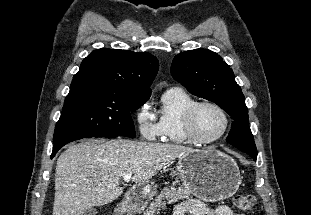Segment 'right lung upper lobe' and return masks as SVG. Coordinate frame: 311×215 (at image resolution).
<instances>
[{"label":"right lung upper lobe","instance_id":"cb5924a9","mask_svg":"<svg viewBox=\"0 0 311 215\" xmlns=\"http://www.w3.org/2000/svg\"><path fill=\"white\" fill-rule=\"evenodd\" d=\"M158 68L157 58L148 52L96 49L82 61L71 88L93 86L150 97Z\"/></svg>","mask_w":311,"mask_h":215}]
</instances>
